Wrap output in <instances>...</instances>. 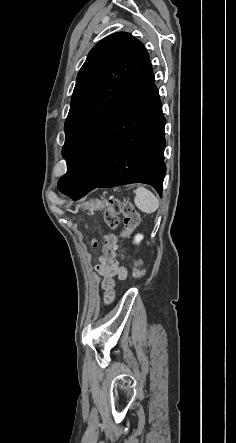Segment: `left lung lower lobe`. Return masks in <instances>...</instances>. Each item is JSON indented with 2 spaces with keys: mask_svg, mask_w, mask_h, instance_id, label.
I'll return each mask as SVG.
<instances>
[{
  "mask_svg": "<svg viewBox=\"0 0 236 443\" xmlns=\"http://www.w3.org/2000/svg\"><path fill=\"white\" fill-rule=\"evenodd\" d=\"M150 60L90 127L58 188L74 200L96 187L146 183L162 196L165 118Z\"/></svg>",
  "mask_w": 236,
  "mask_h": 443,
  "instance_id": "obj_1",
  "label": "left lung lower lobe"
}]
</instances>
